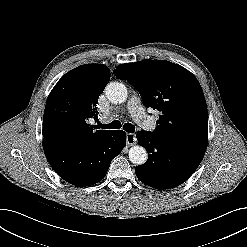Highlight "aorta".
Segmentation results:
<instances>
[{
	"label": "aorta",
	"instance_id": "obj_1",
	"mask_svg": "<svg viewBox=\"0 0 247 247\" xmlns=\"http://www.w3.org/2000/svg\"><path fill=\"white\" fill-rule=\"evenodd\" d=\"M105 94L108 100L115 104L125 102L128 96L126 86L120 82H110L105 88ZM128 155L129 160L135 165H142L148 159L146 150L140 145L131 147Z\"/></svg>",
	"mask_w": 247,
	"mask_h": 247
}]
</instances>
